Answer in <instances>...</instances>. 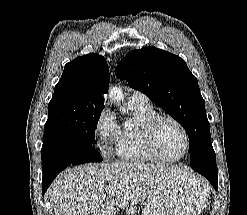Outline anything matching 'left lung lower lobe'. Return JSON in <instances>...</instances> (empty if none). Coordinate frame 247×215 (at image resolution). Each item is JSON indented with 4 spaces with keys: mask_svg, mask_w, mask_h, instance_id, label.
<instances>
[{
    "mask_svg": "<svg viewBox=\"0 0 247 215\" xmlns=\"http://www.w3.org/2000/svg\"><path fill=\"white\" fill-rule=\"evenodd\" d=\"M190 164L193 170L206 177L211 182L213 187L216 190L218 189V170L216 166V155L213 147L207 146L200 149Z\"/></svg>",
    "mask_w": 247,
    "mask_h": 215,
    "instance_id": "obj_1",
    "label": "left lung lower lobe"
}]
</instances>
